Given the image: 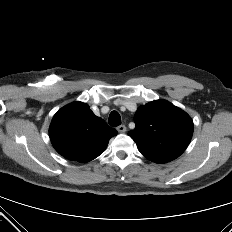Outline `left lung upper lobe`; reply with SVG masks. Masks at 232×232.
Wrapping results in <instances>:
<instances>
[{
	"label": "left lung upper lobe",
	"mask_w": 232,
	"mask_h": 232,
	"mask_svg": "<svg viewBox=\"0 0 232 232\" xmlns=\"http://www.w3.org/2000/svg\"><path fill=\"white\" fill-rule=\"evenodd\" d=\"M136 127L128 135L141 154L156 163L176 159L187 148L193 121L187 113L165 100L140 106L134 117Z\"/></svg>",
	"instance_id": "1"
}]
</instances>
